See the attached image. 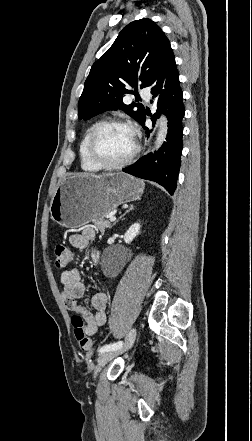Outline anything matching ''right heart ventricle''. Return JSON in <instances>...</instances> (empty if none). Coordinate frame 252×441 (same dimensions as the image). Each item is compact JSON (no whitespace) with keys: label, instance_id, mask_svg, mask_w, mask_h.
<instances>
[{"label":"right heart ventricle","instance_id":"right-heart-ventricle-1","mask_svg":"<svg viewBox=\"0 0 252 441\" xmlns=\"http://www.w3.org/2000/svg\"><path fill=\"white\" fill-rule=\"evenodd\" d=\"M96 124L97 123H93L87 128V130L85 131V133L80 141L79 148H78L80 166H81L82 170H84L86 172H97V171L101 170V168L98 167L97 165H95L89 159V157L87 155V142H88L90 133Z\"/></svg>","mask_w":252,"mask_h":441}]
</instances>
